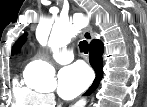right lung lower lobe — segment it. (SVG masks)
Returning <instances> with one entry per match:
<instances>
[{
    "label": "right lung lower lobe",
    "mask_w": 147,
    "mask_h": 107,
    "mask_svg": "<svg viewBox=\"0 0 147 107\" xmlns=\"http://www.w3.org/2000/svg\"><path fill=\"white\" fill-rule=\"evenodd\" d=\"M103 50L104 46L102 41L94 39L90 43V55H89V60L92 68L94 69L96 73V78L92 84V86L86 91L85 95L91 94L99 85L102 75H103V70H102V64H103Z\"/></svg>",
    "instance_id": "98d812e1"
}]
</instances>
